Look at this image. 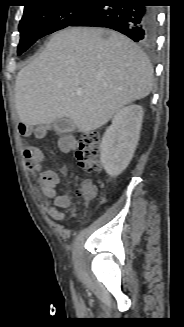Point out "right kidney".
I'll return each mask as SVG.
<instances>
[{"instance_id": "obj_1", "label": "right kidney", "mask_w": 184, "mask_h": 327, "mask_svg": "<svg viewBox=\"0 0 184 327\" xmlns=\"http://www.w3.org/2000/svg\"><path fill=\"white\" fill-rule=\"evenodd\" d=\"M143 108L129 105L120 109L103 135L101 163L111 176L119 175L129 165L140 138Z\"/></svg>"}]
</instances>
